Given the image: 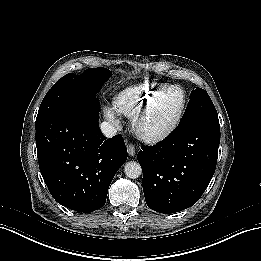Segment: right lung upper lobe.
Segmentation results:
<instances>
[{
  "instance_id": "right-lung-upper-lobe-1",
  "label": "right lung upper lobe",
  "mask_w": 261,
  "mask_h": 261,
  "mask_svg": "<svg viewBox=\"0 0 261 261\" xmlns=\"http://www.w3.org/2000/svg\"><path fill=\"white\" fill-rule=\"evenodd\" d=\"M87 70H99V71H106L107 69L106 68H90V69H87ZM71 74V73H69ZM72 75V74H71Z\"/></svg>"
}]
</instances>
